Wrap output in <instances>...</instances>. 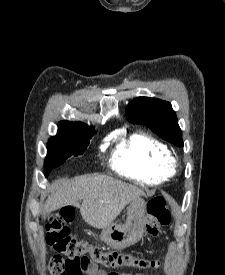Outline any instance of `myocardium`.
<instances>
[{
  "label": "myocardium",
  "instance_id": "1",
  "mask_svg": "<svg viewBox=\"0 0 225 275\" xmlns=\"http://www.w3.org/2000/svg\"><path fill=\"white\" fill-rule=\"evenodd\" d=\"M170 167L172 168L173 171H175L178 167V162L172 158L171 162H170Z\"/></svg>",
  "mask_w": 225,
  "mask_h": 275
}]
</instances>
